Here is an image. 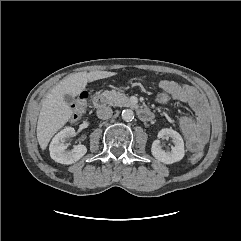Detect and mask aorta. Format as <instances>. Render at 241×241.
<instances>
[{
  "mask_svg": "<svg viewBox=\"0 0 241 241\" xmlns=\"http://www.w3.org/2000/svg\"><path fill=\"white\" fill-rule=\"evenodd\" d=\"M121 116H122V119H123L124 121H127V122H128V121L133 120V118H134V112H133L131 109H125V110L122 111Z\"/></svg>",
  "mask_w": 241,
  "mask_h": 241,
  "instance_id": "1",
  "label": "aorta"
}]
</instances>
